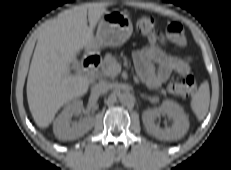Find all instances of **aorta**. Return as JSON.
<instances>
[{
    "label": "aorta",
    "mask_w": 231,
    "mask_h": 170,
    "mask_svg": "<svg viewBox=\"0 0 231 170\" xmlns=\"http://www.w3.org/2000/svg\"><path fill=\"white\" fill-rule=\"evenodd\" d=\"M132 95L129 92L120 93L118 99L122 104H129L132 102Z\"/></svg>",
    "instance_id": "762f6f07"
}]
</instances>
